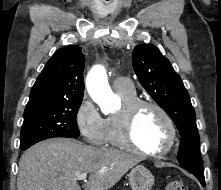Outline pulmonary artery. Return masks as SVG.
<instances>
[{
  "label": "pulmonary artery",
  "mask_w": 221,
  "mask_h": 190,
  "mask_svg": "<svg viewBox=\"0 0 221 190\" xmlns=\"http://www.w3.org/2000/svg\"><path fill=\"white\" fill-rule=\"evenodd\" d=\"M112 86L116 91H129L134 88L132 81L129 78L122 76L114 78Z\"/></svg>",
  "instance_id": "pulmonary-artery-1"
}]
</instances>
